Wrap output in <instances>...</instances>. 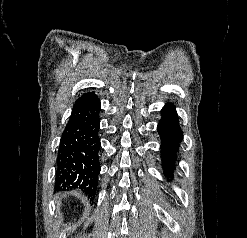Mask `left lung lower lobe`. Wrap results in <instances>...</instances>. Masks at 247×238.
I'll return each instance as SVG.
<instances>
[{
  "mask_svg": "<svg viewBox=\"0 0 247 238\" xmlns=\"http://www.w3.org/2000/svg\"><path fill=\"white\" fill-rule=\"evenodd\" d=\"M162 140L161 160L164 173L167 177H174L179 144L183 133L179 126L178 116L172 104H167L162 109V119L157 127Z\"/></svg>",
  "mask_w": 247,
  "mask_h": 238,
  "instance_id": "1",
  "label": "left lung lower lobe"
}]
</instances>
